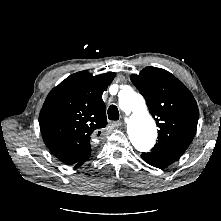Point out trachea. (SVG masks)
Wrapping results in <instances>:
<instances>
[{
	"mask_svg": "<svg viewBox=\"0 0 221 221\" xmlns=\"http://www.w3.org/2000/svg\"><path fill=\"white\" fill-rule=\"evenodd\" d=\"M108 118L110 120L116 121L119 119V111L115 105H110L108 108Z\"/></svg>",
	"mask_w": 221,
	"mask_h": 221,
	"instance_id": "1",
	"label": "trachea"
}]
</instances>
